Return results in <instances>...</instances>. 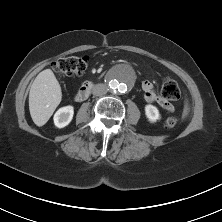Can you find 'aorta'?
Masks as SVG:
<instances>
[{"label": "aorta", "mask_w": 222, "mask_h": 222, "mask_svg": "<svg viewBox=\"0 0 222 222\" xmlns=\"http://www.w3.org/2000/svg\"><path fill=\"white\" fill-rule=\"evenodd\" d=\"M109 89L114 93H124L126 92L131 84L133 83V78L131 75V70L129 67H120L113 70L108 77Z\"/></svg>", "instance_id": "762f6f07"}]
</instances>
